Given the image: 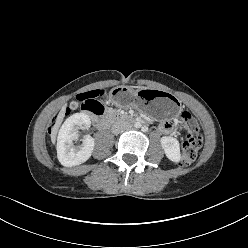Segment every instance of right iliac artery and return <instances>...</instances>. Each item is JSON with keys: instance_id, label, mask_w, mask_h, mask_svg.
I'll use <instances>...</instances> for the list:
<instances>
[{"instance_id": "right-iliac-artery-1", "label": "right iliac artery", "mask_w": 248, "mask_h": 248, "mask_svg": "<svg viewBox=\"0 0 248 248\" xmlns=\"http://www.w3.org/2000/svg\"><path fill=\"white\" fill-rule=\"evenodd\" d=\"M135 127L139 128V127H141V125L139 123H136Z\"/></svg>"}]
</instances>
